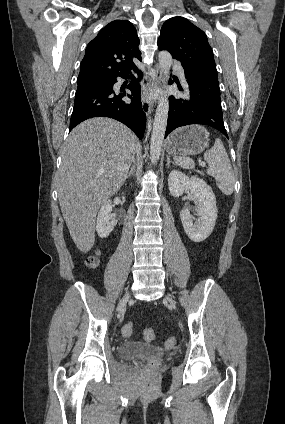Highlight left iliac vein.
I'll return each instance as SVG.
<instances>
[{"instance_id": "left-iliac-vein-1", "label": "left iliac vein", "mask_w": 285, "mask_h": 424, "mask_svg": "<svg viewBox=\"0 0 285 424\" xmlns=\"http://www.w3.org/2000/svg\"><path fill=\"white\" fill-rule=\"evenodd\" d=\"M167 299L171 303L172 307L175 309V303H174V301L170 297H167Z\"/></svg>"}]
</instances>
